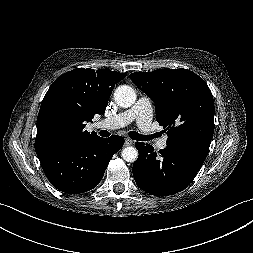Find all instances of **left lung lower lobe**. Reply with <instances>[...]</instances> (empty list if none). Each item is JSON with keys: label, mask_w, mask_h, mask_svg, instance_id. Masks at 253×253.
Returning a JSON list of instances; mask_svg holds the SVG:
<instances>
[{"label": "left lung lower lobe", "mask_w": 253, "mask_h": 253, "mask_svg": "<svg viewBox=\"0 0 253 253\" xmlns=\"http://www.w3.org/2000/svg\"><path fill=\"white\" fill-rule=\"evenodd\" d=\"M139 156L133 164V176L139 188L155 196H168L185 189L195 178L207 157L209 147L186 145L154 151L143 142H135Z\"/></svg>", "instance_id": "1"}]
</instances>
